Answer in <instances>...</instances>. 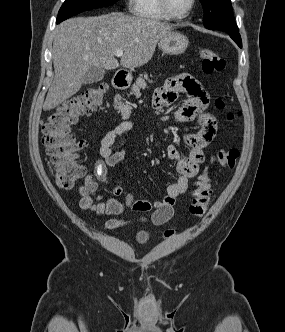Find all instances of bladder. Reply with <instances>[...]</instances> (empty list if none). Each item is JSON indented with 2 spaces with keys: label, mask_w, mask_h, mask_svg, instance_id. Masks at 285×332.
Masks as SVG:
<instances>
[{
  "label": "bladder",
  "mask_w": 285,
  "mask_h": 332,
  "mask_svg": "<svg viewBox=\"0 0 285 332\" xmlns=\"http://www.w3.org/2000/svg\"><path fill=\"white\" fill-rule=\"evenodd\" d=\"M151 238V234L148 231L139 232L137 239L140 243H147Z\"/></svg>",
  "instance_id": "31cf9c89"
}]
</instances>
